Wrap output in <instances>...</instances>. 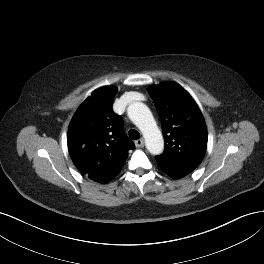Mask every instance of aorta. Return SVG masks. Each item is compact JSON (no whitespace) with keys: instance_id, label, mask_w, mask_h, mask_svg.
Returning a JSON list of instances; mask_svg holds the SVG:
<instances>
[{"instance_id":"obj_1","label":"aorta","mask_w":264,"mask_h":264,"mask_svg":"<svg viewBox=\"0 0 264 264\" xmlns=\"http://www.w3.org/2000/svg\"><path fill=\"white\" fill-rule=\"evenodd\" d=\"M127 113L142 132L147 150L153 155L162 153L164 139L149 108L141 102H134L128 106Z\"/></svg>"}]
</instances>
